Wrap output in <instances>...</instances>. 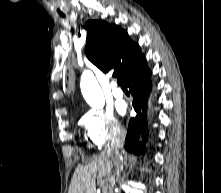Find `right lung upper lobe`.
Here are the masks:
<instances>
[{
	"mask_svg": "<svg viewBox=\"0 0 221 193\" xmlns=\"http://www.w3.org/2000/svg\"><path fill=\"white\" fill-rule=\"evenodd\" d=\"M85 53L100 70L114 68L113 76L127 77L145 60L138 44L129 39L127 32L104 21L89 20Z\"/></svg>",
	"mask_w": 221,
	"mask_h": 193,
	"instance_id": "right-lung-upper-lobe-1",
	"label": "right lung upper lobe"
}]
</instances>
